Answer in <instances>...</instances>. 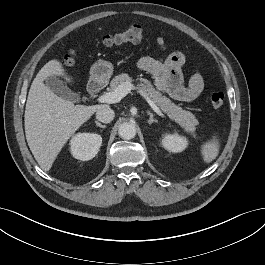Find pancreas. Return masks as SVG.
Returning <instances> with one entry per match:
<instances>
[{
  "instance_id": "obj_1",
  "label": "pancreas",
  "mask_w": 265,
  "mask_h": 265,
  "mask_svg": "<svg viewBox=\"0 0 265 265\" xmlns=\"http://www.w3.org/2000/svg\"><path fill=\"white\" fill-rule=\"evenodd\" d=\"M138 80L139 89L146 93L155 102V104L181 128H183L186 133L195 138L196 126L199 124L195 115H193L190 111L183 110L180 106L173 103L168 97L156 90L149 80L145 78H139ZM132 81L133 79L129 77L128 74L122 73L112 79L110 83V90L114 91L119 85L125 82L132 83Z\"/></svg>"
}]
</instances>
